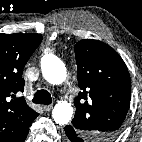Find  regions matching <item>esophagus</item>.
<instances>
[{
    "label": "esophagus",
    "instance_id": "obj_1",
    "mask_svg": "<svg viewBox=\"0 0 142 142\" xmlns=\"http://www.w3.org/2000/svg\"><path fill=\"white\" fill-rule=\"evenodd\" d=\"M53 106L52 105H45L43 106V109L45 112H50L52 110Z\"/></svg>",
    "mask_w": 142,
    "mask_h": 142
}]
</instances>
